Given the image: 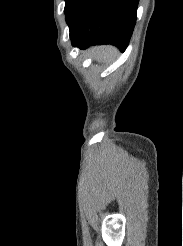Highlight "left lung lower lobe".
<instances>
[{"label":"left lung lower lobe","instance_id":"obj_1","mask_svg":"<svg viewBox=\"0 0 183 246\" xmlns=\"http://www.w3.org/2000/svg\"><path fill=\"white\" fill-rule=\"evenodd\" d=\"M139 0H72L66 14L72 45L112 44L127 48Z\"/></svg>","mask_w":183,"mask_h":246}]
</instances>
